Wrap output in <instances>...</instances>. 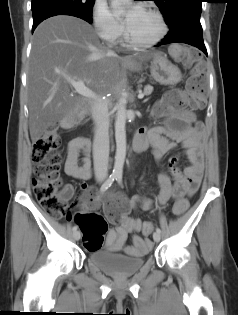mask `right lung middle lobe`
<instances>
[{"label":"right lung middle lobe","instance_id":"1","mask_svg":"<svg viewBox=\"0 0 238 315\" xmlns=\"http://www.w3.org/2000/svg\"><path fill=\"white\" fill-rule=\"evenodd\" d=\"M95 0H32L31 9L45 5H60L78 9L88 15H92Z\"/></svg>","mask_w":238,"mask_h":315}]
</instances>
